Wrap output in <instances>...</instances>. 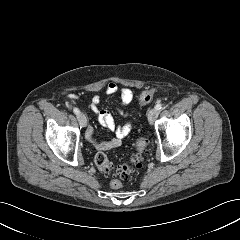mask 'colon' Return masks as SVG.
Instances as JSON below:
<instances>
[{
  "label": "colon",
  "mask_w": 240,
  "mask_h": 240,
  "mask_svg": "<svg viewBox=\"0 0 240 240\" xmlns=\"http://www.w3.org/2000/svg\"><path fill=\"white\" fill-rule=\"evenodd\" d=\"M155 95V90L149 89L143 91L140 95V103L147 104L149 103ZM146 148V141L142 138L138 139L135 144V151L130 155L127 162L114 167L107 159L106 155L103 153L96 154L94 162L100 171L106 175L115 176L111 182L110 186L113 189H120L123 186V181L128 177L132 172L134 167H137L141 164L143 160V154Z\"/></svg>",
  "instance_id": "colon-1"
}]
</instances>
